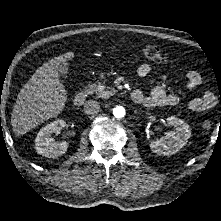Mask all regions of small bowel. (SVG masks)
Returning a JSON list of instances; mask_svg holds the SVG:
<instances>
[{"instance_id": "small-bowel-1", "label": "small bowel", "mask_w": 221, "mask_h": 221, "mask_svg": "<svg viewBox=\"0 0 221 221\" xmlns=\"http://www.w3.org/2000/svg\"><path fill=\"white\" fill-rule=\"evenodd\" d=\"M151 72V66L148 63H142L137 69L140 77H146ZM201 83V75L197 71H188L186 74V86L188 89H194ZM140 92V103L146 107L175 106L182 102V97L166 92L161 86L155 85L148 94ZM215 104V96L211 92H206L202 96L190 98L186 101V106L194 112H202L211 108Z\"/></svg>"}]
</instances>
